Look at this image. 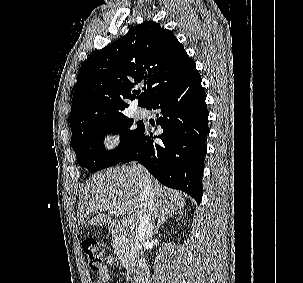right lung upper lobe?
Listing matches in <instances>:
<instances>
[{
    "mask_svg": "<svg viewBox=\"0 0 303 283\" xmlns=\"http://www.w3.org/2000/svg\"><path fill=\"white\" fill-rule=\"evenodd\" d=\"M195 67L172 31L152 21L132 27L81 65L70 113L72 134L88 124L124 116L129 106L125 100L138 98V105L147 107L190 80L198 73ZM140 82L147 89L138 95Z\"/></svg>",
    "mask_w": 303,
    "mask_h": 283,
    "instance_id": "right-lung-upper-lobe-1",
    "label": "right lung upper lobe"
}]
</instances>
